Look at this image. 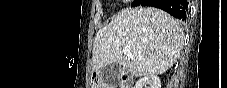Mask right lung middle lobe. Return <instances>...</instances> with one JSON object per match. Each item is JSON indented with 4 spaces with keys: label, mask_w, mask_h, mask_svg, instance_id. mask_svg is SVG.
I'll use <instances>...</instances> for the list:
<instances>
[{
    "label": "right lung middle lobe",
    "mask_w": 227,
    "mask_h": 88,
    "mask_svg": "<svg viewBox=\"0 0 227 88\" xmlns=\"http://www.w3.org/2000/svg\"><path fill=\"white\" fill-rule=\"evenodd\" d=\"M140 2H141V0H134L132 6H137Z\"/></svg>",
    "instance_id": "obj_1"
}]
</instances>
